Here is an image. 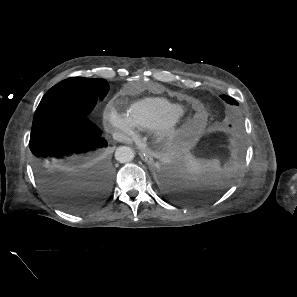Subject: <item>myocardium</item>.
<instances>
[{
	"instance_id": "f54148a6",
	"label": "myocardium",
	"mask_w": 297,
	"mask_h": 297,
	"mask_svg": "<svg viewBox=\"0 0 297 297\" xmlns=\"http://www.w3.org/2000/svg\"><path fill=\"white\" fill-rule=\"evenodd\" d=\"M185 128L184 119L178 118L157 125L152 129L155 143L160 150H166L174 145Z\"/></svg>"
}]
</instances>
